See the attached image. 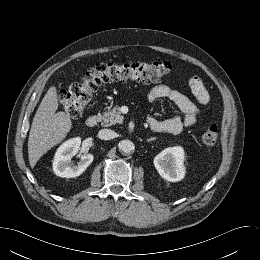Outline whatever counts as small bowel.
Wrapping results in <instances>:
<instances>
[{"label":"small bowel","mask_w":260,"mask_h":260,"mask_svg":"<svg viewBox=\"0 0 260 260\" xmlns=\"http://www.w3.org/2000/svg\"><path fill=\"white\" fill-rule=\"evenodd\" d=\"M189 86L200 105L204 106L209 102L208 90L199 77L193 76L189 81ZM160 99L172 101L183 113V116L176 115L165 120L151 118L148 120V124L152 130L156 132L178 134L184 128L194 125L197 121L199 114L197 106L178 90L167 85L153 87L148 93V100L150 102H156Z\"/></svg>","instance_id":"1"}]
</instances>
